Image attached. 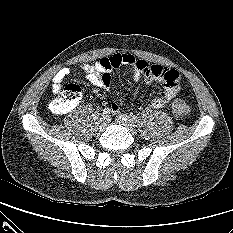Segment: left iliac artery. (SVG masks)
Segmentation results:
<instances>
[{
    "label": "left iliac artery",
    "instance_id": "44dca946",
    "mask_svg": "<svg viewBox=\"0 0 233 233\" xmlns=\"http://www.w3.org/2000/svg\"><path fill=\"white\" fill-rule=\"evenodd\" d=\"M132 120H133L134 122H137L138 117H137V116H133V117H132Z\"/></svg>",
    "mask_w": 233,
    "mask_h": 233
}]
</instances>
